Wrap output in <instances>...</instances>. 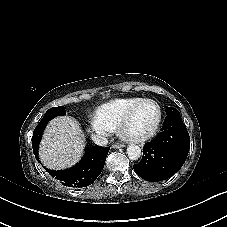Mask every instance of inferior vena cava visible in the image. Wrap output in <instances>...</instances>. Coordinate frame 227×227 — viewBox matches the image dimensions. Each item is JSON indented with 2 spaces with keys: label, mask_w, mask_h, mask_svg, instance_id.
Returning <instances> with one entry per match:
<instances>
[{
  "label": "inferior vena cava",
  "mask_w": 227,
  "mask_h": 227,
  "mask_svg": "<svg viewBox=\"0 0 227 227\" xmlns=\"http://www.w3.org/2000/svg\"><path fill=\"white\" fill-rule=\"evenodd\" d=\"M92 140L96 145L106 146L108 144V140L104 136L92 135Z\"/></svg>",
  "instance_id": "1"
}]
</instances>
